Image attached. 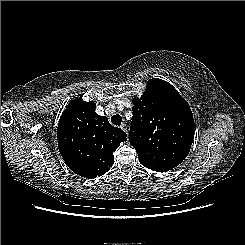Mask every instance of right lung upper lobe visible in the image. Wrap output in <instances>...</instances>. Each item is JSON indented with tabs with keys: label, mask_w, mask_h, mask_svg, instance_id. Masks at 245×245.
Returning <instances> with one entry per match:
<instances>
[{
	"label": "right lung upper lobe",
	"mask_w": 245,
	"mask_h": 245,
	"mask_svg": "<svg viewBox=\"0 0 245 245\" xmlns=\"http://www.w3.org/2000/svg\"><path fill=\"white\" fill-rule=\"evenodd\" d=\"M96 104L73 99L64 110L57 128L59 151L68 167L86 178L105 174L112 166L113 152L127 135L111 126L96 112Z\"/></svg>",
	"instance_id": "right-lung-upper-lobe-1"
}]
</instances>
